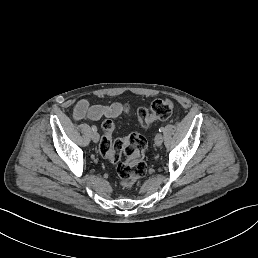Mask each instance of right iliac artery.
Returning <instances> with one entry per match:
<instances>
[{
	"mask_svg": "<svg viewBox=\"0 0 258 258\" xmlns=\"http://www.w3.org/2000/svg\"><path fill=\"white\" fill-rule=\"evenodd\" d=\"M92 130L95 132L97 131V127L95 125H92Z\"/></svg>",
	"mask_w": 258,
	"mask_h": 258,
	"instance_id": "right-iliac-artery-1",
	"label": "right iliac artery"
}]
</instances>
